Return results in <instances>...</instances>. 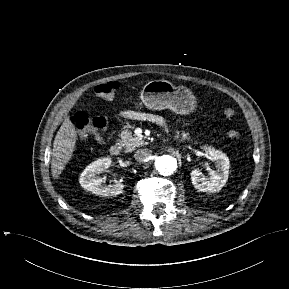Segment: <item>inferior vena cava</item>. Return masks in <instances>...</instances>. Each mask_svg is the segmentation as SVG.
Wrapping results in <instances>:
<instances>
[{
  "label": "inferior vena cava",
  "instance_id": "obj_1",
  "mask_svg": "<svg viewBox=\"0 0 289 289\" xmlns=\"http://www.w3.org/2000/svg\"><path fill=\"white\" fill-rule=\"evenodd\" d=\"M151 156V151L147 148L139 149L135 152L134 157L139 162L146 161Z\"/></svg>",
  "mask_w": 289,
  "mask_h": 289
}]
</instances>
